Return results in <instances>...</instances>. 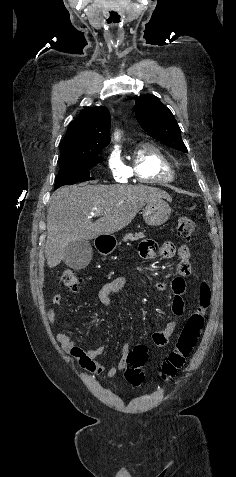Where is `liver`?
<instances>
[{"label":"liver","mask_w":236,"mask_h":477,"mask_svg":"<svg viewBox=\"0 0 236 477\" xmlns=\"http://www.w3.org/2000/svg\"><path fill=\"white\" fill-rule=\"evenodd\" d=\"M165 191L145 185H72L55 191L47 215L45 257L49 268L61 263L70 242L92 240L128 226L139 210ZM102 212L92 222L91 212Z\"/></svg>","instance_id":"obj_1"}]
</instances>
